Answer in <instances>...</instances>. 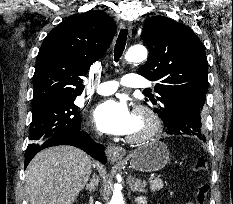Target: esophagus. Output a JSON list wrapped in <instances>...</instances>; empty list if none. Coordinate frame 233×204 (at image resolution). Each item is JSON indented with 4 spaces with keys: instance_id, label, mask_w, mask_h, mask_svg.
I'll return each instance as SVG.
<instances>
[{
    "instance_id": "obj_1",
    "label": "esophagus",
    "mask_w": 233,
    "mask_h": 204,
    "mask_svg": "<svg viewBox=\"0 0 233 204\" xmlns=\"http://www.w3.org/2000/svg\"><path fill=\"white\" fill-rule=\"evenodd\" d=\"M124 27H126L130 33L132 32L133 25L131 22L125 23ZM105 152L108 158L113 161L121 160L125 155V149L115 145H108Z\"/></svg>"
}]
</instances>
